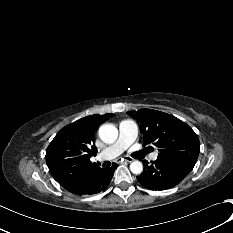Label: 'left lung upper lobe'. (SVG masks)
Returning <instances> with one entry per match:
<instances>
[{"label":"left lung upper lobe","instance_id":"left-lung-upper-lobe-1","mask_svg":"<svg viewBox=\"0 0 233 233\" xmlns=\"http://www.w3.org/2000/svg\"><path fill=\"white\" fill-rule=\"evenodd\" d=\"M135 119L144 137V145L153 144L158 148L157 160L190 173L200 151V143L192 128L173 115L141 109L127 112Z\"/></svg>","mask_w":233,"mask_h":233}]
</instances>
